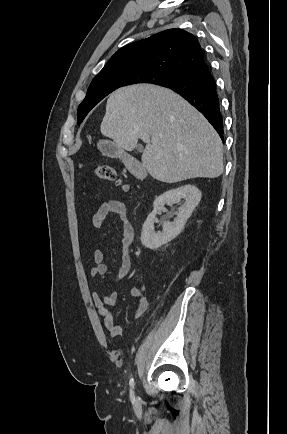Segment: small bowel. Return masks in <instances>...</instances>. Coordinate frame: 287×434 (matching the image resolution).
I'll list each match as a JSON object with an SVG mask.
<instances>
[{
	"instance_id": "c3829d8e",
	"label": "small bowel",
	"mask_w": 287,
	"mask_h": 434,
	"mask_svg": "<svg viewBox=\"0 0 287 434\" xmlns=\"http://www.w3.org/2000/svg\"><path fill=\"white\" fill-rule=\"evenodd\" d=\"M116 214L121 220L123 235L121 241L122 248V263L117 272L116 279H123L131 269V255L130 247L134 242V228L128 218L127 205L118 199H111L103 203L99 209L92 215L91 223L95 228L103 226L105 219L111 215ZM104 254L101 249H96L93 252L94 266L90 270L92 277L104 276L108 272L107 265L103 262ZM131 295L137 301V307L135 311V317L141 318L148 309V301L143 291L138 287L131 289ZM92 302L97 309L99 315L102 317L104 327L114 337L120 336L123 332V328L120 324L116 323L113 315L108 309V306H112L117 301V293L112 292L108 295H101L98 292H93L91 295Z\"/></svg>"
}]
</instances>
